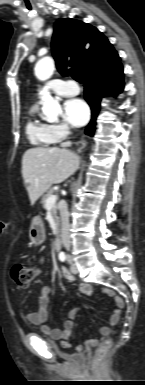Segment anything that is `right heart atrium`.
Here are the masks:
<instances>
[{
	"instance_id": "d8ad5b80",
	"label": "right heart atrium",
	"mask_w": 145,
	"mask_h": 385,
	"mask_svg": "<svg viewBox=\"0 0 145 385\" xmlns=\"http://www.w3.org/2000/svg\"><path fill=\"white\" fill-rule=\"evenodd\" d=\"M50 127H51V132L53 134V138L55 142L62 140L70 132V128L66 123L52 124L50 125Z\"/></svg>"
}]
</instances>
